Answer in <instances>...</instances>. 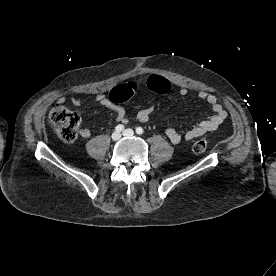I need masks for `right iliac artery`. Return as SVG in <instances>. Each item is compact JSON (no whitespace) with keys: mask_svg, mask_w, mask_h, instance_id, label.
<instances>
[{"mask_svg":"<svg viewBox=\"0 0 276 276\" xmlns=\"http://www.w3.org/2000/svg\"><path fill=\"white\" fill-rule=\"evenodd\" d=\"M115 130H116L117 132H121V131L124 130V126H123L122 124H119V125H117V126L115 127Z\"/></svg>","mask_w":276,"mask_h":276,"instance_id":"1","label":"right iliac artery"}]
</instances>
